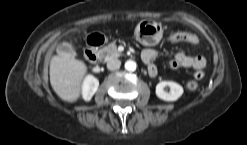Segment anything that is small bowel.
<instances>
[{
    "mask_svg": "<svg viewBox=\"0 0 247 145\" xmlns=\"http://www.w3.org/2000/svg\"><path fill=\"white\" fill-rule=\"evenodd\" d=\"M180 33L185 36V38L182 40L183 42H186V43H189L192 45L198 44L199 39H198L197 35H195L193 33H188V32H180ZM156 56H157L156 50L151 49V48L144 50L142 53V58L148 64V67L150 65H154L152 63V60ZM205 65H206V60L203 56H201V55L189 56V55H185V54L180 53V52L175 53L171 62H170V66L173 69H178V68L193 69L195 71L194 76H195L196 72L202 71L203 68L205 67ZM149 73L151 76H156L158 74V70L156 68L155 72L151 73L149 71Z\"/></svg>",
    "mask_w": 247,
    "mask_h": 145,
    "instance_id": "small-bowel-1",
    "label": "small bowel"
}]
</instances>
